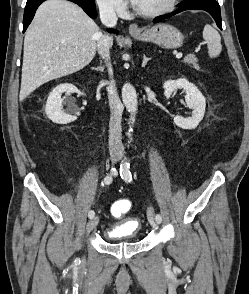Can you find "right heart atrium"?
I'll return each mask as SVG.
<instances>
[{
  "label": "right heart atrium",
  "instance_id": "obj_1",
  "mask_svg": "<svg viewBox=\"0 0 249 294\" xmlns=\"http://www.w3.org/2000/svg\"><path fill=\"white\" fill-rule=\"evenodd\" d=\"M98 7L105 11L115 14H123L126 9V2L124 0H95Z\"/></svg>",
  "mask_w": 249,
  "mask_h": 294
}]
</instances>
